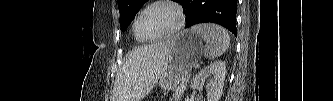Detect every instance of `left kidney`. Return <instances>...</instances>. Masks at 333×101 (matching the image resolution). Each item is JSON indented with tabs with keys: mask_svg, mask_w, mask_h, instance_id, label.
Listing matches in <instances>:
<instances>
[{
	"mask_svg": "<svg viewBox=\"0 0 333 101\" xmlns=\"http://www.w3.org/2000/svg\"><path fill=\"white\" fill-rule=\"evenodd\" d=\"M225 73H226L225 62L215 61L211 65L200 70L195 75L191 83V88L198 90L202 89L203 80L206 77L212 76L210 84L207 87V101H219L224 88ZM185 100L189 101V98L187 97Z\"/></svg>",
	"mask_w": 333,
	"mask_h": 101,
	"instance_id": "obj_1",
	"label": "left kidney"
}]
</instances>
